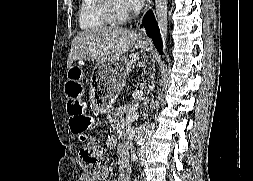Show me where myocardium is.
<instances>
[{
    "label": "myocardium",
    "mask_w": 253,
    "mask_h": 181,
    "mask_svg": "<svg viewBox=\"0 0 253 181\" xmlns=\"http://www.w3.org/2000/svg\"><path fill=\"white\" fill-rule=\"evenodd\" d=\"M101 9L110 23H122L128 19L130 15L129 11H118L114 4V0H101Z\"/></svg>",
    "instance_id": "obj_1"
}]
</instances>
